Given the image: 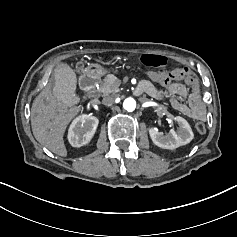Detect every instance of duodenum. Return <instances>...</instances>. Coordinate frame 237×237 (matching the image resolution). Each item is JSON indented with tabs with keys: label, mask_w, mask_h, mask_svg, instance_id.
<instances>
[{
	"label": "duodenum",
	"mask_w": 237,
	"mask_h": 237,
	"mask_svg": "<svg viewBox=\"0 0 237 237\" xmlns=\"http://www.w3.org/2000/svg\"><path fill=\"white\" fill-rule=\"evenodd\" d=\"M99 78H100L99 70L96 67L91 66V67H88L81 74L79 78V84L84 92L90 93L96 87V84L98 83Z\"/></svg>",
	"instance_id": "obj_1"
}]
</instances>
